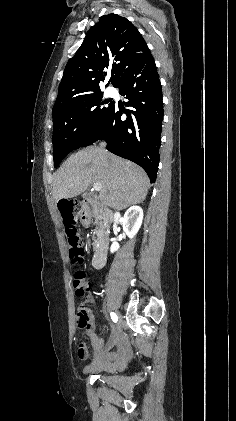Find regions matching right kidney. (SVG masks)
<instances>
[{"mask_svg": "<svg viewBox=\"0 0 236 421\" xmlns=\"http://www.w3.org/2000/svg\"><path fill=\"white\" fill-rule=\"evenodd\" d=\"M123 221L125 225L124 231L127 237H129V239H133L136 233H138L143 221V211L141 206H137V204H135V206H130L123 217ZM119 247L120 245L114 241L110 247L111 253L118 251Z\"/></svg>", "mask_w": 236, "mask_h": 421, "instance_id": "1", "label": "right kidney"}]
</instances>
